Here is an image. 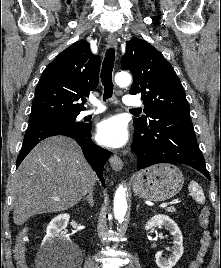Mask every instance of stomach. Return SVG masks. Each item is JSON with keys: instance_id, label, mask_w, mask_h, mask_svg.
<instances>
[{"instance_id": "obj_1", "label": "stomach", "mask_w": 221, "mask_h": 268, "mask_svg": "<svg viewBox=\"0 0 221 268\" xmlns=\"http://www.w3.org/2000/svg\"><path fill=\"white\" fill-rule=\"evenodd\" d=\"M184 184V177L178 167L163 163L138 172L133 179L136 195L151 200L164 201L175 196Z\"/></svg>"}]
</instances>
